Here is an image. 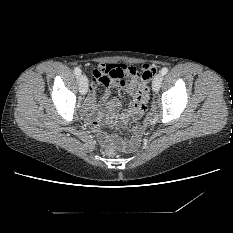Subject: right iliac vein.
I'll return each instance as SVG.
<instances>
[{
  "instance_id": "right-iliac-vein-1",
  "label": "right iliac vein",
  "mask_w": 233,
  "mask_h": 233,
  "mask_svg": "<svg viewBox=\"0 0 233 233\" xmlns=\"http://www.w3.org/2000/svg\"><path fill=\"white\" fill-rule=\"evenodd\" d=\"M88 90V80L85 75L79 77V91L82 95H85Z\"/></svg>"
}]
</instances>
